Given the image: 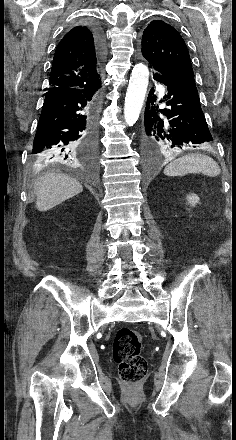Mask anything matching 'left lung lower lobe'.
I'll return each mask as SVG.
<instances>
[{
	"instance_id": "1",
	"label": "left lung lower lobe",
	"mask_w": 236,
	"mask_h": 440,
	"mask_svg": "<svg viewBox=\"0 0 236 440\" xmlns=\"http://www.w3.org/2000/svg\"><path fill=\"white\" fill-rule=\"evenodd\" d=\"M154 80L167 86L168 109H159L154 90L149 92L145 108L143 142L149 155L179 152L212 141L202 112L193 73L154 70ZM163 100H160L162 102Z\"/></svg>"
}]
</instances>
